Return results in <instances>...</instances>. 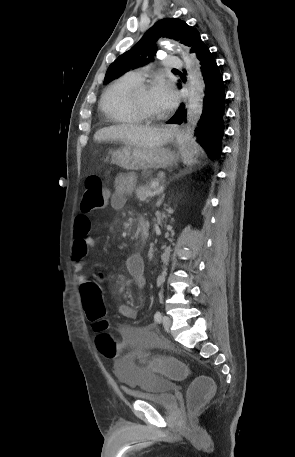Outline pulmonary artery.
<instances>
[{
  "instance_id": "1",
  "label": "pulmonary artery",
  "mask_w": 295,
  "mask_h": 457,
  "mask_svg": "<svg viewBox=\"0 0 295 457\" xmlns=\"http://www.w3.org/2000/svg\"><path fill=\"white\" fill-rule=\"evenodd\" d=\"M163 64H164V66L166 68L173 69V70H178V69H181L183 67L182 60L180 58L176 57V56H167L164 59ZM129 75H131L132 77H134L138 81H141L143 79V77H144V71L141 70V69L134 70V71H131L129 73Z\"/></svg>"
}]
</instances>
